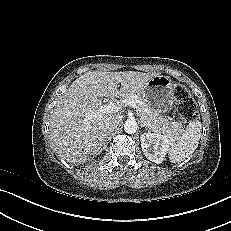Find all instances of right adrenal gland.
Here are the masks:
<instances>
[{"label":"right adrenal gland","mask_w":231,"mask_h":231,"mask_svg":"<svg viewBox=\"0 0 231 231\" xmlns=\"http://www.w3.org/2000/svg\"><path fill=\"white\" fill-rule=\"evenodd\" d=\"M108 136H109V133H107L106 137H105V140H104V147H106V144H107V141H108Z\"/></svg>","instance_id":"2a0ac1e0"}]
</instances>
